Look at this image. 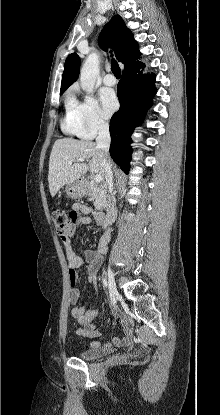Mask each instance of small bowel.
<instances>
[{"instance_id":"small-bowel-1","label":"small bowel","mask_w":220,"mask_h":415,"mask_svg":"<svg viewBox=\"0 0 220 415\" xmlns=\"http://www.w3.org/2000/svg\"><path fill=\"white\" fill-rule=\"evenodd\" d=\"M71 218L69 225L62 235L58 236L62 240L66 248V256L69 268V280L72 285L71 302L77 303L81 297V291L75 287L79 280V269L84 267L87 272V279L93 285L97 283V270L103 262V258L106 255L111 238L110 230L105 232L99 239L96 249H88L79 254L71 246V237L75 233V228L79 224H91L92 220L98 222L103 221V213L95 211L91 207L76 203L72 206L70 211ZM92 214L93 219L89 217ZM72 317L83 327L77 330V334L89 338H97L100 336V332L97 329L93 321L98 317L99 312L95 309H88L84 306H76L71 311ZM115 317L121 322L123 327V334L112 341L100 343L98 341L91 342L92 346L104 347L107 349L113 347H120L129 344L131 327L124 319V316L120 312L114 313Z\"/></svg>"}]
</instances>
